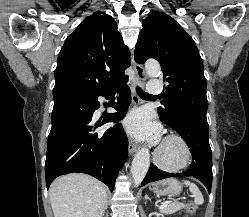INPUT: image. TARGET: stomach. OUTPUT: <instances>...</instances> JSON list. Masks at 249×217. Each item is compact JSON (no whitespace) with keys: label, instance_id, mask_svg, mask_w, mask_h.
I'll return each instance as SVG.
<instances>
[{"label":"stomach","instance_id":"0dacf381","mask_svg":"<svg viewBox=\"0 0 249 217\" xmlns=\"http://www.w3.org/2000/svg\"><path fill=\"white\" fill-rule=\"evenodd\" d=\"M150 190L158 196L174 197L181 193L182 185L177 179L168 178L153 183Z\"/></svg>","mask_w":249,"mask_h":217}]
</instances>
